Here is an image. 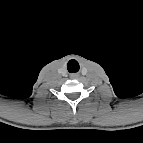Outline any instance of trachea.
<instances>
[{"instance_id":"1","label":"trachea","mask_w":143,"mask_h":143,"mask_svg":"<svg viewBox=\"0 0 143 143\" xmlns=\"http://www.w3.org/2000/svg\"><path fill=\"white\" fill-rule=\"evenodd\" d=\"M67 68H68V71L71 72V73L72 72H77L79 70V64L75 60H70L68 62ZM73 69H75L77 71H72Z\"/></svg>"}]
</instances>
